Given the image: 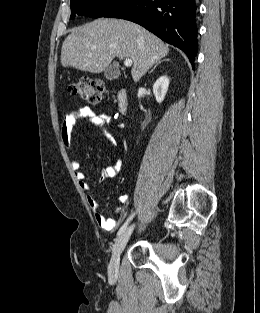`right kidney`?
<instances>
[{
  "label": "right kidney",
  "instance_id": "1",
  "mask_svg": "<svg viewBox=\"0 0 260 313\" xmlns=\"http://www.w3.org/2000/svg\"><path fill=\"white\" fill-rule=\"evenodd\" d=\"M169 86V78L167 76L159 77L153 85V93L155 95L156 101L161 103L167 93Z\"/></svg>",
  "mask_w": 260,
  "mask_h": 313
}]
</instances>
